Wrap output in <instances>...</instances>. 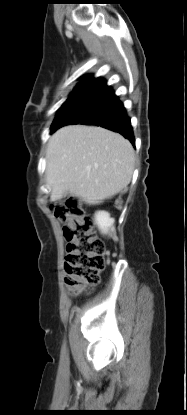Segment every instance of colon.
Masks as SVG:
<instances>
[{"mask_svg":"<svg viewBox=\"0 0 187 415\" xmlns=\"http://www.w3.org/2000/svg\"><path fill=\"white\" fill-rule=\"evenodd\" d=\"M55 214L64 223L67 240L65 281L70 291L80 293L99 280V273L105 267L104 244L94 232L92 217L76 197L57 206Z\"/></svg>","mask_w":187,"mask_h":415,"instance_id":"obj_1","label":"colon"}]
</instances>
